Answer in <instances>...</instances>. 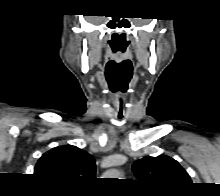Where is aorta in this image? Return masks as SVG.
I'll return each instance as SVG.
<instances>
[{
	"instance_id": "762f6f07",
	"label": "aorta",
	"mask_w": 220,
	"mask_h": 196,
	"mask_svg": "<svg viewBox=\"0 0 220 196\" xmlns=\"http://www.w3.org/2000/svg\"><path fill=\"white\" fill-rule=\"evenodd\" d=\"M106 176H110L111 178H117L120 176V173L117 170H111L108 173H106Z\"/></svg>"
}]
</instances>
